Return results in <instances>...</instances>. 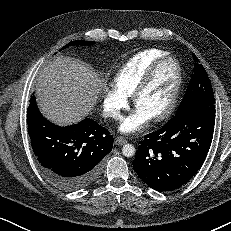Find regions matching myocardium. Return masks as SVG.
Returning a JSON list of instances; mask_svg holds the SVG:
<instances>
[{"mask_svg": "<svg viewBox=\"0 0 231 231\" xmlns=\"http://www.w3.org/2000/svg\"><path fill=\"white\" fill-rule=\"evenodd\" d=\"M167 61H172L175 65V80L173 84V88L169 97V100L165 106V108L156 116L152 117V121L160 122L168 118L175 109L181 87H182V68L180 62L177 58L172 55H164L158 59H156L147 69L146 73L144 74L143 78L135 88L132 94V100L135 107H137L139 99L141 95L145 92V90L149 87L150 83L152 82L157 70L160 68L162 64Z\"/></svg>", "mask_w": 231, "mask_h": 231, "instance_id": "1", "label": "myocardium"}]
</instances>
